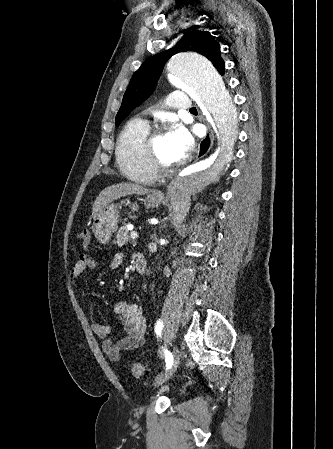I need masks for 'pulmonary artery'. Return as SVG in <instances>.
Returning <instances> with one entry per match:
<instances>
[{
  "label": "pulmonary artery",
  "mask_w": 333,
  "mask_h": 449,
  "mask_svg": "<svg viewBox=\"0 0 333 449\" xmlns=\"http://www.w3.org/2000/svg\"><path fill=\"white\" fill-rule=\"evenodd\" d=\"M169 104L177 109L189 110L192 107L191 100L185 91L177 90L172 92L168 98Z\"/></svg>",
  "instance_id": "pulmonary-artery-1"
}]
</instances>
